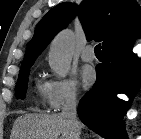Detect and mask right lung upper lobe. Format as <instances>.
Wrapping results in <instances>:
<instances>
[{"instance_id":"cb5924a9","label":"right lung upper lobe","mask_w":141,"mask_h":139,"mask_svg":"<svg viewBox=\"0 0 141 139\" xmlns=\"http://www.w3.org/2000/svg\"><path fill=\"white\" fill-rule=\"evenodd\" d=\"M140 6L135 0H83L77 7L60 3L37 25L22 67L30 66L53 37L65 28L78 11L88 40L103 41L102 49L141 32Z\"/></svg>"}]
</instances>
